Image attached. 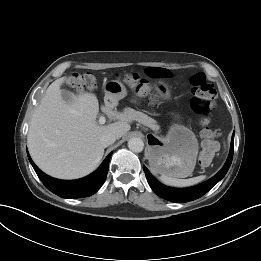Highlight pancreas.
<instances>
[{"label": "pancreas", "mask_w": 261, "mask_h": 261, "mask_svg": "<svg viewBox=\"0 0 261 261\" xmlns=\"http://www.w3.org/2000/svg\"><path fill=\"white\" fill-rule=\"evenodd\" d=\"M126 113H127L128 117L132 120H136V121L142 123L143 125L148 126L153 129L158 128V125H156V121L142 112L136 111L132 108H128V109H126Z\"/></svg>", "instance_id": "cf45deb5"}]
</instances>
